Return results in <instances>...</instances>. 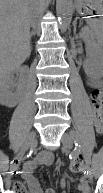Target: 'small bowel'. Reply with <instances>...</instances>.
Instances as JSON below:
<instances>
[{
  "label": "small bowel",
  "instance_id": "c3829d8e",
  "mask_svg": "<svg viewBox=\"0 0 103 193\" xmlns=\"http://www.w3.org/2000/svg\"><path fill=\"white\" fill-rule=\"evenodd\" d=\"M52 162H53V154L51 152L44 151V152H41L34 160L28 161L23 165L22 178L27 184L30 193H43V190L38 180L33 175V171L39 165H50ZM76 181H79V184L77 186V191L79 193H89V185H88L86 176H83L79 179H74L69 177L65 172H62V179H61L62 187H66L68 182H76ZM20 186H23V185L19 182H16L13 185L12 193H16L15 189ZM46 193H57V192L53 189H47ZM62 193H67V191H63Z\"/></svg>",
  "mask_w": 103,
  "mask_h": 193
}]
</instances>
